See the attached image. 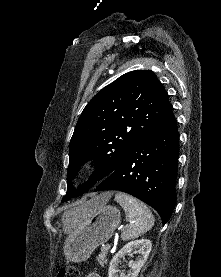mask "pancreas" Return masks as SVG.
Instances as JSON below:
<instances>
[{"label":"pancreas","mask_w":221,"mask_h":277,"mask_svg":"<svg viewBox=\"0 0 221 277\" xmlns=\"http://www.w3.org/2000/svg\"><path fill=\"white\" fill-rule=\"evenodd\" d=\"M107 254H108V250H105L104 248H102L99 256L97 257V261L99 265L104 266L107 263Z\"/></svg>","instance_id":"pancreas-1"}]
</instances>
